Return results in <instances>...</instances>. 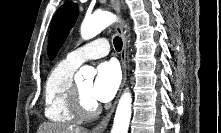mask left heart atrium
I'll use <instances>...</instances> for the list:
<instances>
[{"instance_id": "obj_1", "label": "left heart atrium", "mask_w": 221, "mask_h": 133, "mask_svg": "<svg viewBox=\"0 0 221 133\" xmlns=\"http://www.w3.org/2000/svg\"><path fill=\"white\" fill-rule=\"evenodd\" d=\"M120 84V71L113 61L103 62L98 65L96 78L91 88L93 101L108 102L117 92Z\"/></svg>"}]
</instances>
